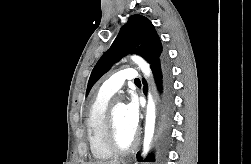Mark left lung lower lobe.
<instances>
[{
    "mask_svg": "<svg viewBox=\"0 0 251 164\" xmlns=\"http://www.w3.org/2000/svg\"><path fill=\"white\" fill-rule=\"evenodd\" d=\"M157 83L158 91L161 97L163 122L164 127L167 129L171 123L173 100H172V81L170 75V69L165 58H162L160 62L156 63L152 68ZM144 83V92H147L146 82ZM138 161H141L140 156L137 157ZM146 162H153V156H150L145 160Z\"/></svg>",
    "mask_w": 251,
    "mask_h": 164,
    "instance_id": "obj_1",
    "label": "left lung lower lobe"
}]
</instances>
